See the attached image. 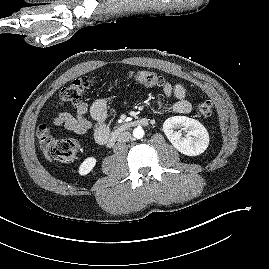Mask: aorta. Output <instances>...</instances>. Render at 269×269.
I'll return each mask as SVG.
<instances>
[{
    "label": "aorta",
    "mask_w": 269,
    "mask_h": 269,
    "mask_svg": "<svg viewBox=\"0 0 269 269\" xmlns=\"http://www.w3.org/2000/svg\"><path fill=\"white\" fill-rule=\"evenodd\" d=\"M133 136L136 139H141L144 136V130L141 127H137L133 130Z\"/></svg>",
    "instance_id": "obj_1"
}]
</instances>
